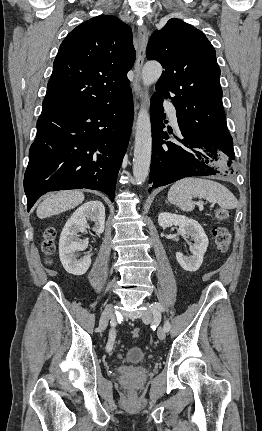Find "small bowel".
Instances as JSON below:
<instances>
[{"mask_svg": "<svg viewBox=\"0 0 262 431\" xmlns=\"http://www.w3.org/2000/svg\"><path fill=\"white\" fill-rule=\"evenodd\" d=\"M113 331V335L116 337V333H115V331L114 330H112Z\"/></svg>", "mask_w": 262, "mask_h": 431, "instance_id": "1", "label": "small bowel"}]
</instances>
